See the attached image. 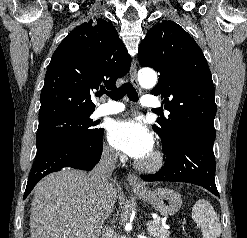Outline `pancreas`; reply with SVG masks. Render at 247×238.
<instances>
[{
  "label": "pancreas",
  "mask_w": 247,
  "mask_h": 238,
  "mask_svg": "<svg viewBox=\"0 0 247 238\" xmlns=\"http://www.w3.org/2000/svg\"><path fill=\"white\" fill-rule=\"evenodd\" d=\"M148 234L154 238H169L170 231L164 227L161 220H152L150 224L147 225Z\"/></svg>",
  "instance_id": "1"
}]
</instances>
